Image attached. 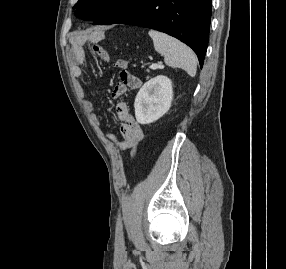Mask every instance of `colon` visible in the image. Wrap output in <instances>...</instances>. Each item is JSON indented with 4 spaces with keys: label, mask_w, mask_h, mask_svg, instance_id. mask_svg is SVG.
Here are the masks:
<instances>
[{
    "label": "colon",
    "mask_w": 286,
    "mask_h": 269,
    "mask_svg": "<svg viewBox=\"0 0 286 269\" xmlns=\"http://www.w3.org/2000/svg\"><path fill=\"white\" fill-rule=\"evenodd\" d=\"M94 50L97 52H102V48L98 45L93 46ZM127 66H131V61L125 59H120L118 65H116V70H120L119 77L120 82L116 83V88H141L140 78H135L128 70Z\"/></svg>",
    "instance_id": "1"
}]
</instances>
